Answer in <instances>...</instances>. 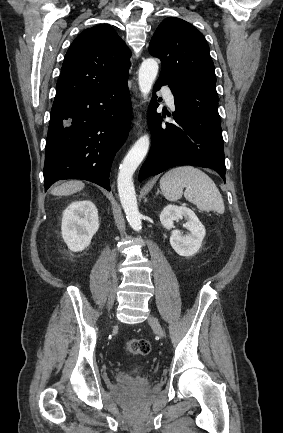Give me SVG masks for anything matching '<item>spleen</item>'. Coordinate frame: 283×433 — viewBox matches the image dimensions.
<instances>
[{
    "label": "spleen",
    "instance_id": "3e777b00",
    "mask_svg": "<svg viewBox=\"0 0 283 433\" xmlns=\"http://www.w3.org/2000/svg\"><path fill=\"white\" fill-rule=\"evenodd\" d=\"M160 188L167 200H179L183 194L199 210H216L223 214V198L212 178L194 166L171 168L160 178Z\"/></svg>",
    "mask_w": 283,
    "mask_h": 433
}]
</instances>
